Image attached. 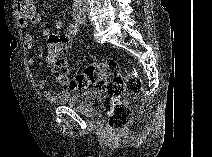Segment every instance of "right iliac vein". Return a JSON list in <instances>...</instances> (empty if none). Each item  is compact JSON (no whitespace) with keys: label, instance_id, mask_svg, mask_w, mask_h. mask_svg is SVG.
<instances>
[{"label":"right iliac vein","instance_id":"right-iliac-vein-1","mask_svg":"<svg viewBox=\"0 0 212 157\" xmlns=\"http://www.w3.org/2000/svg\"><path fill=\"white\" fill-rule=\"evenodd\" d=\"M77 20H78L79 22H82V21L85 20V16L82 15V14H79V15L77 16Z\"/></svg>","mask_w":212,"mask_h":157}]
</instances>
